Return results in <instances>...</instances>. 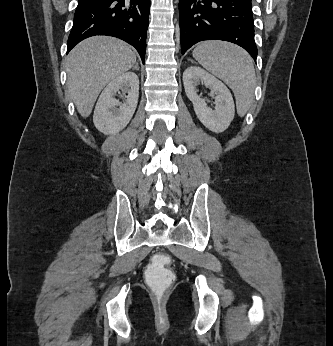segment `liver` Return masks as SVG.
Returning a JSON list of instances; mask_svg holds the SVG:
<instances>
[{"label": "liver", "mask_w": 333, "mask_h": 346, "mask_svg": "<svg viewBox=\"0 0 333 346\" xmlns=\"http://www.w3.org/2000/svg\"><path fill=\"white\" fill-rule=\"evenodd\" d=\"M135 63L130 46L114 37H90L74 47L66 58L67 86L79 114L87 118L101 90Z\"/></svg>", "instance_id": "6515ba94"}]
</instances>
